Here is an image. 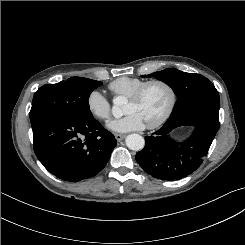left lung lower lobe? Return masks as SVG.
Listing matches in <instances>:
<instances>
[{"label":"left lung lower lobe","mask_w":245,"mask_h":245,"mask_svg":"<svg viewBox=\"0 0 245 245\" xmlns=\"http://www.w3.org/2000/svg\"><path fill=\"white\" fill-rule=\"evenodd\" d=\"M181 126H193L194 132L183 143L169 137ZM220 127L219 108L198 106L167 120L162 128L145 137V147L135 158L142 169L161 180H179L190 175L202 163Z\"/></svg>","instance_id":"left-lung-lower-lobe-1"}]
</instances>
